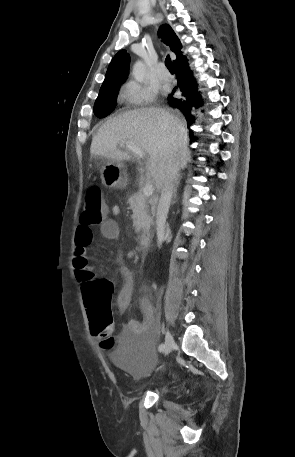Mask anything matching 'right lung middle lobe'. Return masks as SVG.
<instances>
[{
	"label": "right lung middle lobe",
	"instance_id": "dd1d6c3e",
	"mask_svg": "<svg viewBox=\"0 0 295 457\" xmlns=\"http://www.w3.org/2000/svg\"><path fill=\"white\" fill-rule=\"evenodd\" d=\"M118 91L119 87L108 90H100L94 104V113L97 117L103 118L113 112L116 107Z\"/></svg>",
	"mask_w": 295,
	"mask_h": 457
}]
</instances>
